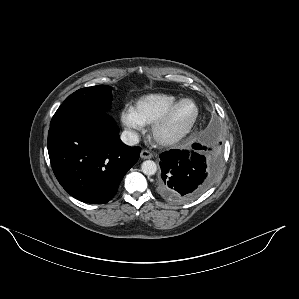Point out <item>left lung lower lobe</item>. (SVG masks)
Returning <instances> with one entry per match:
<instances>
[{
    "label": "left lung lower lobe",
    "mask_w": 299,
    "mask_h": 299,
    "mask_svg": "<svg viewBox=\"0 0 299 299\" xmlns=\"http://www.w3.org/2000/svg\"><path fill=\"white\" fill-rule=\"evenodd\" d=\"M159 194L174 203L188 202L212 183L220 162L218 146L194 143L190 150H170L160 155Z\"/></svg>",
    "instance_id": "1"
}]
</instances>
